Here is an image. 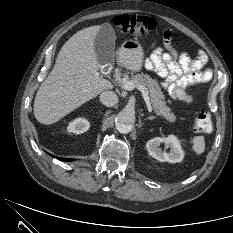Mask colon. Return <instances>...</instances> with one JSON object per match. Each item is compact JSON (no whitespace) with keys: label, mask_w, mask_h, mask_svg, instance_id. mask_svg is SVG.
I'll return each instance as SVG.
<instances>
[{"label":"colon","mask_w":233,"mask_h":233,"mask_svg":"<svg viewBox=\"0 0 233 233\" xmlns=\"http://www.w3.org/2000/svg\"><path fill=\"white\" fill-rule=\"evenodd\" d=\"M115 27L122 33L145 35L156 27L154 18L142 15H119L113 19ZM198 133H210L213 129L212 119L208 111H202L194 123Z\"/></svg>","instance_id":"1"}]
</instances>
